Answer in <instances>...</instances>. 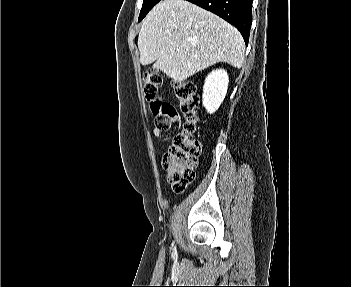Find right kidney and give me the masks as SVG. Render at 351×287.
Wrapping results in <instances>:
<instances>
[{
    "label": "right kidney",
    "mask_w": 351,
    "mask_h": 287,
    "mask_svg": "<svg viewBox=\"0 0 351 287\" xmlns=\"http://www.w3.org/2000/svg\"><path fill=\"white\" fill-rule=\"evenodd\" d=\"M229 77L224 69L213 70L205 79L203 86L202 103L207 112L213 114L223 102Z\"/></svg>",
    "instance_id": "ca27d5eb"
}]
</instances>
